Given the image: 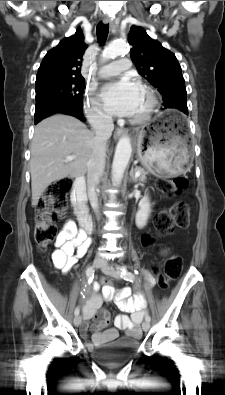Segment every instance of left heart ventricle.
I'll use <instances>...</instances> for the list:
<instances>
[{"label":"left heart ventricle","instance_id":"left-heart-ventricle-1","mask_svg":"<svg viewBox=\"0 0 225 395\" xmlns=\"http://www.w3.org/2000/svg\"><path fill=\"white\" fill-rule=\"evenodd\" d=\"M146 106H147V97H146V94L144 93V91L141 89L139 102H138L136 111L133 114V117H137V116L141 115L145 111Z\"/></svg>","mask_w":225,"mask_h":395}]
</instances>
